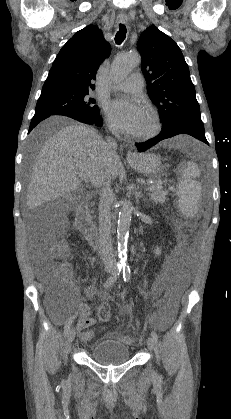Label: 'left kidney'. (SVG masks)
<instances>
[{"mask_svg": "<svg viewBox=\"0 0 231 419\" xmlns=\"http://www.w3.org/2000/svg\"><path fill=\"white\" fill-rule=\"evenodd\" d=\"M160 253H161V250H160V248H158V247H157V248L155 249V254H156V255H159Z\"/></svg>", "mask_w": 231, "mask_h": 419, "instance_id": "5707ae66", "label": "left kidney"}]
</instances>
